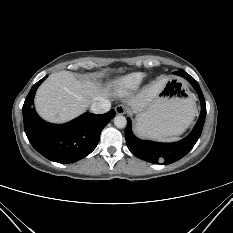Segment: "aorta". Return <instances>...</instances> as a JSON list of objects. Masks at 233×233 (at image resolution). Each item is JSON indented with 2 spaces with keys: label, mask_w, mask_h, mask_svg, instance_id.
<instances>
[{
  "label": "aorta",
  "mask_w": 233,
  "mask_h": 233,
  "mask_svg": "<svg viewBox=\"0 0 233 233\" xmlns=\"http://www.w3.org/2000/svg\"><path fill=\"white\" fill-rule=\"evenodd\" d=\"M114 125L117 127V128H125L126 125H127V120L124 116L122 115H117L115 116L114 118Z\"/></svg>",
  "instance_id": "1"
}]
</instances>
